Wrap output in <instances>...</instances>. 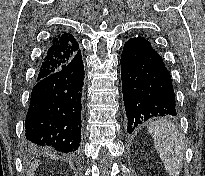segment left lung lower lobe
Returning <instances> with one entry per match:
<instances>
[{
	"label": "left lung lower lobe",
	"instance_id": "left-lung-lower-lobe-1",
	"mask_svg": "<svg viewBox=\"0 0 205 176\" xmlns=\"http://www.w3.org/2000/svg\"><path fill=\"white\" fill-rule=\"evenodd\" d=\"M121 78L127 132L156 116H176L171 76L151 43L130 38L121 55Z\"/></svg>",
	"mask_w": 205,
	"mask_h": 176
}]
</instances>
